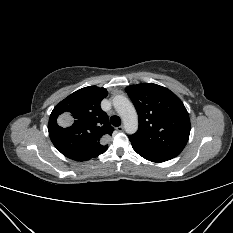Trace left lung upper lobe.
I'll return each mask as SVG.
<instances>
[{
    "mask_svg": "<svg viewBox=\"0 0 233 233\" xmlns=\"http://www.w3.org/2000/svg\"><path fill=\"white\" fill-rule=\"evenodd\" d=\"M139 117L138 131L129 136L133 146L174 158L184 149L190 119L182 101L169 89L152 83L126 87Z\"/></svg>",
    "mask_w": 233,
    "mask_h": 233,
    "instance_id": "5c2ea615",
    "label": "left lung upper lobe"
}]
</instances>
